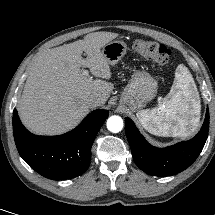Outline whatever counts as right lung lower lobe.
Returning <instances> with one entry per match:
<instances>
[{"mask_svg":"<svg viewBox=\"0 0 215 215\" xmlns=\"http://www.w3.org/2000/svg\"><path fill=\"white\" fill-rule=\"evenodd\" d=\"M108 111H92L75 129L59 136H37L13 112V134L20 156L42 176L61 180L84 173L90 163L91 146L108 117Z\"/></svg>","mask_w":215,"mask_h":215,"instance_id":"98d812e1","label":"right lung lower lobe"}]
</instances>
